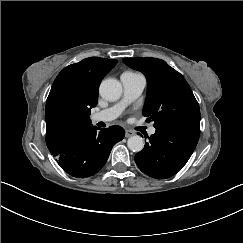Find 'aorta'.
Returning <instances> with one entry per match:
<instances>
[{
	"label": "aorta",
	"mask_w": 243,
	"mask_h": 243,
	"mask_svg": "<svg viewBox=\"0 0 243 243\" xmlns=\"http://www.w3.org/2000/svg\"><path fill=\"white\" fill-rule=\"evenodd\" d=\"M100 96L108 101L118 100L122 94L121 83L114 79H104L99 87ZM128 148L133 152H139L144 147L143 139L138 135L130 136L127 140Z\"/></svg>",
	"instance_id": "1"
}]
</instances>
